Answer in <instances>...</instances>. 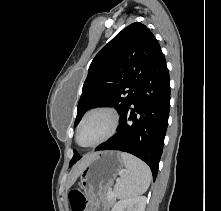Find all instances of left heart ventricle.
<instances>
[{"label": "left heart ventricle", "instance_id": "1", "mask_svg": "<svg viewBox=\"0 0 221 211\" xmlns=\"http://www.w3.org/2000/svg\"><path fill=\"white\" fill-rule=\"evenodd\" d=\"M110 125V120L105 114H95L83 124L79 140L87 145L96 142L105 135Z\"/></svg>", "mask_w": 221, "mask_h": 211}]
</instances>
